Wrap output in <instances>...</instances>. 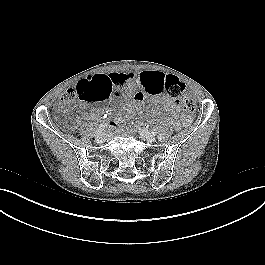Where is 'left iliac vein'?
Segmentation results:
<instances>
[{
	"mask_svg": "<svg viewBox=\"0 0 265 265\" xmlns=\"http://www.w3.org/2000/svg\"><path fill=\"white\" fill-rule=\"evenodd\" d=\"M140 136L142 139L148 142H154L156 140L155 136L151 132L145 129L141 130Z\"/></svg>",
	"mask_w": 265,
	"mask_h": 265,
	"instance_id": "1",
	"label": "left iliac vein"
}]
</instances>
